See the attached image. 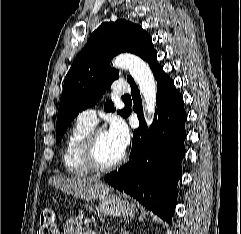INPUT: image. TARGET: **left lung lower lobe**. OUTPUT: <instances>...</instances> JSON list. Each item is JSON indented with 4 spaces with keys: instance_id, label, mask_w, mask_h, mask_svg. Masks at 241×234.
<instances>
[{
    "instance_id": "obj_1",
    "label": "left lung lower lobe",
    "mask_w": 241,
    "mask_h": 234,
    "mask_svg": "<svg viewBox=\"0 0 241 234\" xmlns=\"http://www.w3.org/2000/svg\"><path fill=\"white\" fill-rule=\"evenodd\" d=\"M146 61L157 80V108L153 123L149 131L139 90L135 82H131L133 110L138 114L140 126L133 133L129 162L118 171L106 175L105 180L171 223L177 203L176 185L182 174L181 162L185 156L184 125L187 116L183 97L158 64L157 52ZM130 113L131 109L128 115Z\"/></svg>"
}]
</instances>
